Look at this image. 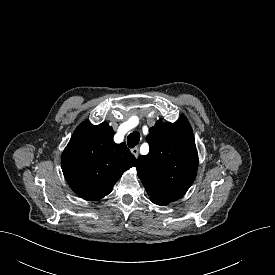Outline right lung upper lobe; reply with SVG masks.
I'll list each match as a JSON object with an SVG mask.
<instances>
[{
	"mask_svg": "<svg viewBox=\"0 0 275 275\" xmlns=\"http://www.w3.org/2000/svg\"><path fill=\"white\" fill-rule=\"evenodd\" d=\"M113 136L108 123L94 126L84 121L62 153L64 177L71 189L85 200L105 197L123 172L136 166V158L126 144H115Z\"/></svg>",
	"mask_w": 275,
	"mask_h": 275,
	"instance_id": "cb5924a9",
	"label": "right lung upper lobe"
}]
</instances>
